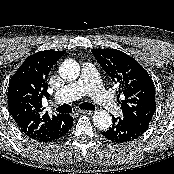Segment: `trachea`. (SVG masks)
I'll use <instances>...</instances> for the list:
<instances>
[{
  "label": "trachea",
  "mask_w": 174,
  "mask_h": 174,
  "mask_svg": "<svg viewBox=\"0 0 174 174\" xmlns=\"http://www.w3.org/2000/svg\"><path fill=\"white\" fill-rule=\"evenodd\" d=\"M79 108L83 110H95V106L88 102L80 104ZM56 111L58 113H70L72 111V107L69 104H64L56 108Z\"/></svg>",
  "instance_id": "3493384b"
}]
</instances>
